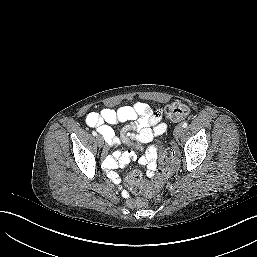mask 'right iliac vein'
<instances>
[{
    "instance_id": "63e3f726",
    "label": "right iliac vein",
    "mask_w": 257,
    "mask_h": 257,
    "mask_svg": "<svg viewBox=\"0 0 257 257\" xmlns=\"http://www.w3.org/2000/svg\"><path fill=\"white\" fill-rule=\"evenodd\" d=\"M97 142L100 147L104 146V140L100 135L97 136Z\"/></svg>"
}]
</instances>
